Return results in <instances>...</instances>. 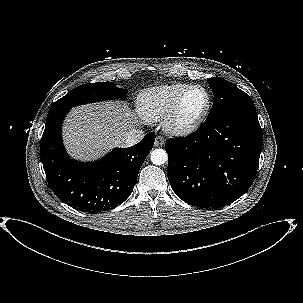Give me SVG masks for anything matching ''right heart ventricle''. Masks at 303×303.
<instances>
[{
  "label": "right heart ventricle",
  "instance_id": "1",
  "mask_svg": "<svg viewBox=\"0 0 303 303\" xmlns=\"http://www.w3.org/2000/svg\"><path fill=\"white\" fill-rule=\"evenodd\" d=\"M189 86L188 83L175 82L141 91L137 97L139 115L148 122L164 118L178 97Z\"/></svg>",
  "mask_w": 303,
  "mask_h": 303
}]
</instances>
